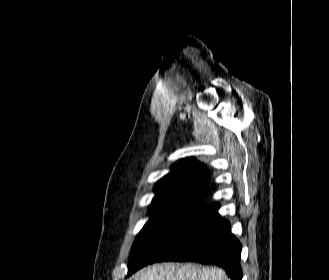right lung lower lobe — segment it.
Segmentation results:
<instances>
[{
  "mask_svg": "<svg viewBox=\"0 0 329 280\" xmlns=\"http://www.w3.org/2000/svg\"><path fill=\"white\" fill-rule=\"evenodd\" d=\"M218 209V203L205 208L149 263L194 261L215 264L224 268L231 279L241 280V244L231 235L230 223L219 216Z\"/></svg>",
  "mask_w": 329,
  "mask_h": 280,
  "instance_id": "obj_1",
  "label": "right lung lower lobe"
}]
</instances>
